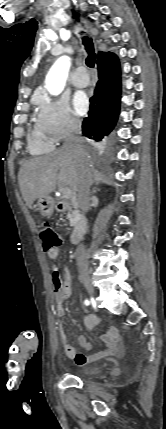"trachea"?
I'll return each mask as SVG.
<instances>
[{
    "label": "trachea",
    "mask_w": 166,
    "mask_h": 429,
    "mask_svg": "<svg viewBox=\"0 0 166 429\" xmlns=\"http://www.w3.org/2000/svg\"><path fill=\"white\" fill-rule=\"evenodd\" d=\"M82 40H83V45L85 46V50L88 54V56L86 58V65L90 68H93L95 65V61H96V55L94 53L93 41L91 38H89L87 36L82 38Z\"/></svg>",
    "instance_id": "obj_1"
}]
</instances>
